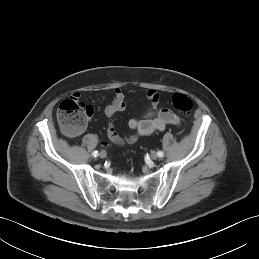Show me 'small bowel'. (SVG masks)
Wrapping results in <instances>:
<instances>
[{"label": "small bowel", "mask_w": 259, "mask_h": 259, "mask_svg": "<svg viewBox=\"0 0 259 259\" xmlns=\"http://www.w3.org/2000/svg\"><path fill=\"white\" fill-rule=\"evenodd\" d=\"M146 99L149 102V108L143 113L140 118H132L128 122L131 133L125 136V139L121 138L116 132L112 124L107 129L108 141L121 146L124 141L128 143H136L141 137L151 135L156 132L165 130L167 125L180 126V118L170 110L160 107V95L155 90H149L146 94ZM126 107L125 96L120 88L113 90V100L105 108V114L107 117L112 118L119 112L123 111ZM92 109L93 114V108ZM92 114L89 116L91 118ZM102 145H106V141L101 142Z\"/></svg>", "instance_id": "c3829d8e"}]
</instances>
